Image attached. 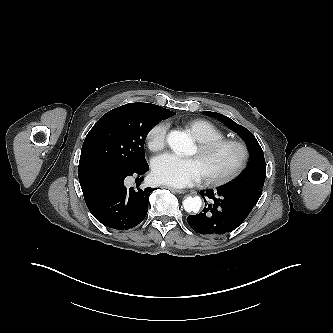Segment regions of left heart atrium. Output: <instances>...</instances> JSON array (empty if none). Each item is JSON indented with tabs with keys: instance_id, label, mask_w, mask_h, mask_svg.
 Returning a JSON list of instances; mask_svg holds the SVG:
<instances>
[{
	"instance_id": "obj_1",
	"label": "left heart atrium",
	"mask_w": 333,
	"mask_h": 333,
	"mask_svg": "<svg viewBox=\"0 0 333 333\" xmlns=\"http://www.w3.org/2000/svg\"><path fill=\"white\" fill-rule=\"evenodd\" d=\"M152 173L159 183L180 188L193 185L203 177L196 158H183L172 153L156 157Z\"/></svg>"
}]
</instances>
